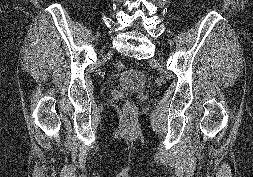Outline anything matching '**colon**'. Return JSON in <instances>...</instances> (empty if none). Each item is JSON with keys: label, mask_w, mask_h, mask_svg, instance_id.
<instances>
[{"label": "colon", "mask_w": 253, "mask_h": 177, "mask_svg": "<svg viewBox=\"0 0 253 177\" xmlns=\"http://www.w3.org/2000/svg\"><path fill=\"white\" fill-rule=\"evenodd\" d=\"M115 69L118 70V71H121L124 69L125 65L122 61H117L115 63ZM134 108V105H133V95L132 94H128L127 95V100H126V109L128 111H132Z\"/></svg>", "instance_id": "5ec220e1"}]
</instances>
